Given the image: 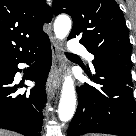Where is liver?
<instances>
[{
    "label": "liver",
    "mask_w": 136,
    "mask_h": 136,
    "mask_svg": "<svg viewBox=\"0 0 136 136\" xmlns=\"http://www.w3.org/2000/svg\"><path fill=\"white\" fill-rule=\"evenodd\" d=\"M0 136H17V135L0 129Z\"/></svg>",
    "instance_id": "obj_1"
}]
</instances>
